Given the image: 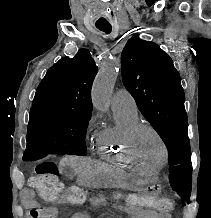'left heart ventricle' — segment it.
Here are the masks:
<instances>
[{"label":"left heart ventricle","instance_id":"b2bd125f","mask_svg":"<svg viewBox=\"0 0 211 218\" xmlns=\"http://www.w3.org/2000/svg\"><path fill=\"white\" fill-rule=\"evenodd\" d=\"M136 155L145 163L160 164L162 162V148L152 132L142 130L138 134L136 140Z\"/></svg>","mask_w":211,"mask_h":218}]
</instances>
